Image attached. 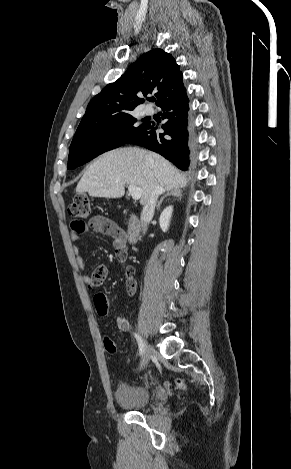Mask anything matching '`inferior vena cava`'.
I'll return each instance as SVG.
<instances>
[{
    "instance_id": "inferior-vena-cava-1",
    "label": "inferior vena cava",
    "mask_w": 291,
    "mask_h": 469,
    "mask_svg": "<svg viewBox=\"0 0 291 469\" xmlns=\"http://www.w3.org/2000/svg\"><path fill=\"white\" fill-rule=\"evenodd\" d=\"M161 193V188L158 184L153 186L148 202L144 205L141 213V228L142 233L145 234L147 231V222L154 215L155 205L159 194Z\"/></svg>"
}]
</instances>
